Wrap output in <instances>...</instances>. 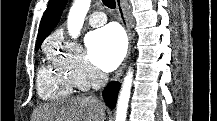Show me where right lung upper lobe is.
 Segmentation results:
<instances>
[{
	"instance_id": "right-lung-upper-lobe-1",
	"label": "right lung upper lobe",
	"mask_w": 217,
	"mask_h": 121,
	"mask_svg": "<svg viewBox=\"0 0 217 121\" xmlns=\"http://www.w3.org/2000/svg\"><path fill=\"white\" fill-rule=\"evenodd\" d=\"M66 0H50L46 11L40 22L36 49H39L41 43L51 33L53 28L58 23L61 13L65 7Z\"/></svg>"
}]
</instances>
